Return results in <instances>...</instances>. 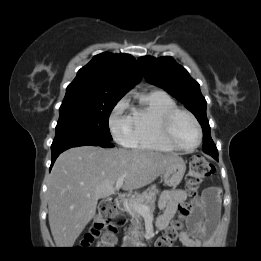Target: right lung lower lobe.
Here are the masks:
<instances>
[{
    "label": "right lung lower lobe",
    "mask_w": 261,
    "mask_h": 261,
    "mask_svg": "<svg viewBox=\"0 0 261 261\" xmlns=\"http://www.w3.org/2000/svg\"><path fill=\"white\" fill-rule=\"evenodd\" d=\"M101 146L103 148L113 147L114 145L109 142V140H105L102 138L91 137V136H81L75 138H66L59 141H53L51 146L52 151V160L50 170L56 160V158L65 150L78 147V146Z\"/></svg>",
    "instance_id": "right-lung-lower-lobe-1"
}]
</instances>
